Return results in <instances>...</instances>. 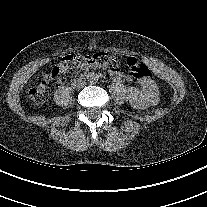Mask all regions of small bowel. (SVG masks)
<instances>
[{"instance_id": "1", "label": "small bowel", "mask_w": 207, "mask_h": 207, "mask_svg": "<svg viewBox=\"0 0 207 207\" xmlns=\"http://www.w3.org/2000/svg\"><path fill=\"white\" fill-rule=\"evenodd\" d=\"M93 68V67H90ZM111 77L115 82L130 81V76L117 67H113L110 71ZM58 83H63L62 77L56 78ZM139 87H130L128 89V98L135 107L143 109L153 106L158 101L157 85L149 78L139 81Z\"/></svg>"}]
</instances>
